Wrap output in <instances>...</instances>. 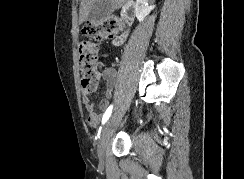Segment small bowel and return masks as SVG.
<instances>
[{
    "label": "small bowel",
    "instance_id": "1",
    "mask_svg": "<svg viewBox=\"0 0 244 179\" xmlns=\"http://www.w3.org/2000/svg\"><path fill=\"white\" fill-rule=\"evenodd\" d=\"M122 42H123V38L121 36H117L113 40L114 45H120ZM102 56L108 57L109 53L103 52ZM116 75L117 73L114 68L112 67L105 68L103 72V79L106 84V92H105V97L100 101L99 111L95 110L94 104L91 102L89 94L86 92L83 93L82 100L86 107V110L89 113L88 123L92 127L98 126L102 118V111L105 110L110 103V100L113 96V92L116 86Z\"/></svg>",
    "mask_w": 244,
    "mask_h": 179
}]
</instances>
